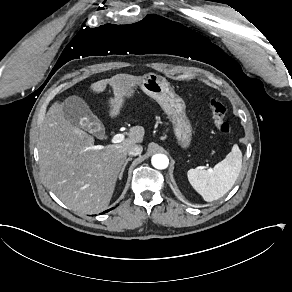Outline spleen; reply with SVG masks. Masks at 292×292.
Segmentation results:
<instances>
[{"label": "spleen", "mask_w": 292, "mask_h": 292, "mask_svg": "<svg viewBox=\"0 0 292 292\" xmlns=\"http://www.w3.org/2000/svg\"><path fill=\"white\" fill-rule=\"evenodd\" d=\"M241 164V150L238 146H234L226 158L212 169L188 170V181L203 200L213 201L222 197L232 188L241 170Z\"/></svg>", "instance_id": "1"}]
</instances>
